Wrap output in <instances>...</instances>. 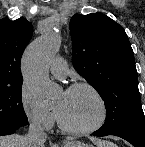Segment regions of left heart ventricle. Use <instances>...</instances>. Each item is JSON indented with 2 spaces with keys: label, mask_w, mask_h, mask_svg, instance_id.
Wrapping results in <instances>:
<instances>
[{
  "label": "left heart ventricle",
  "mask_w": 145,
  "mask_h": 147,
  "mask_svg": "<svg viewBox=\"0 0 145 147\" xmlns=\"http://www.w3.org/2000/svg\"><path fill=\"white\" fill-rule=\"evenodd\" d=\"M54 107L67 124L77 128L93 125L101 114L98 101L86 89L62 92L56 99Z\"/></svg>",
  "instance_id": "left-heart-ventricle-1"
}]
</instances>
